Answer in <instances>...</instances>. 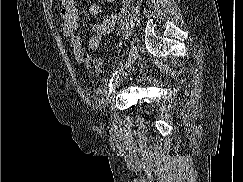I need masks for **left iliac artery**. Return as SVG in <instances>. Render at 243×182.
Listing matches in <instances>:
<instances>
[{
    "instance_id": "1",
    "label": "left iliac artery",
    "mask_w": 243,
    "mask_h": 182,
    "mask_svg": "<svg viewBox=\"0 0 243 182\" xmlns=\"http://www.w3.org/2000/svg\"><path fill=\"white\" fill-rule=\"evenodd\" d=\"M122 67H123V64L121 65V67H120L118 70L115 71L114 75L112 76V78H111V80H110V82H109V84H108L109 90H110L111 87L115 84V82H116V80H117V77H118V75H119V73H120Z\"/></svg>"
}]
</instances>
